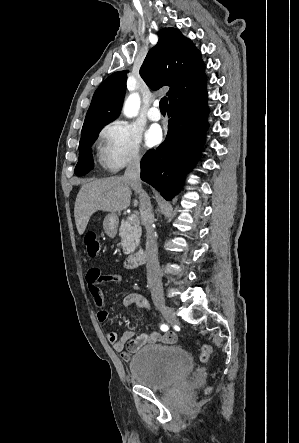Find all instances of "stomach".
Returning <instances> with one entry per match:
<instances>
[{"instance_id": "obj_1", "label": "stomach", "mask_w": 299, "mask_h": 443, "mask_svg": "<svg viewBox=\"0 0 299 443\" xmlns=\"http://www.w3.org/2000/svg\"><path fill=\"white\" fill-rule=\"evenodd\" d=\"M118 223V216L115 213L108 214L104 218L103 229L110 238H114L116 236Z\"/></svg>"}]
</instances>
